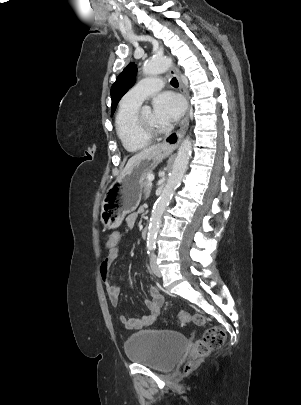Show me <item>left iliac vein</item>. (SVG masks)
I'll return each instance as SVG.
<instances>
[{"label":"left iliac vein","instance_id":"1","mask_svg":"<svg viewBox=\"0 0 301 405\" xmlns=\"http://www.w3.org/2000/svg\"><path fill=\"white\" fill-rule=\"evenodd\" d=\"M150 266L152 269V272L157 276V277H161V271L158 267V264L156 262V256L155 254H152L151 259H150Z\"/></svg>","mask_w":301,"mask_h":405}]
</instances>
